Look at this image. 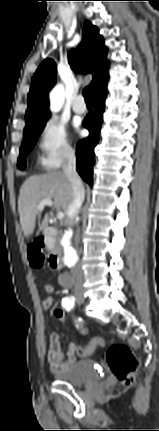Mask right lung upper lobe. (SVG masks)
I'll return each mask as SVG.
<instances>
[{
	"label": "right lung upper lobe",
	"instance_id": "right-lung-upper-lobe-1",
	"mask_svg": "<svg viewBox=\"0 0 159 431\" xmlns=\"http://www.w3.org/2000/svg\"><path fill=\"white\" fill-rule=\"evenodd\" d=\"M107 48L98 29L88 21L84 24L83 41L77 50L69 52L68 60L76 72L92 73L94 90L108 81L109 64L106 59ZM56 82V65L52 59L44 60L32 78L28 94L25 130L47 121L50 117L48 94Z\"/></svg>",
	"mask_w": 159,
	"mask_h": 431
}]
</instances>
